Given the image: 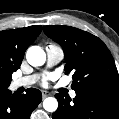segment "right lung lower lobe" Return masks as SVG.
Masks as SVG:
<instances>
[{
	"label": "right lung lower lobe",
	"mask_w": 119,
	"mask_h": 119,
	"mask_svg": "<svg viewBox=\"0 0 119 119\" xmlns=\"http://www.w3.org/2000/svg\"><path fill=\"white\" fill-rule=\"evenodd\" d=\"M7 88H0V119H29L42 100L41 92L29 88L26 94L15 96Z\"/></svg>",
	"instance_id": "1"
}]
</instances>
